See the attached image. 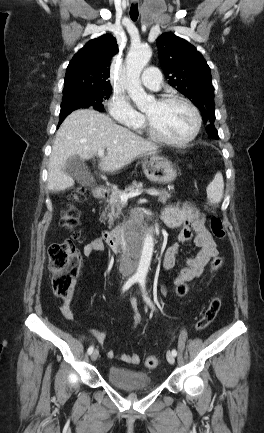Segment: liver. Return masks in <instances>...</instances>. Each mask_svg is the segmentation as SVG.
<instances>
[{
    "instance_id": "liver-1",
    "label": "liver",
    "mask_w": 264,
    "mask_h": 433,
    "mask_svg": "<svg viewBox=\"0 0 264 433\" xmlns=\"http://www.w3.org/2000/svg\"><path fill=\"white\" fill-rule=\"evenodd\" d=\"M159 146L117 125L109 116L93 109L72 112L59 127L48 166V189L63 191L74 185L73 177L64 172L72 156L89 160L101 149L99 168L113 173L140 156L155 155Z\"/></svg>"
}]
</instances>
